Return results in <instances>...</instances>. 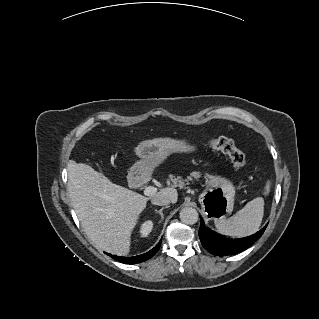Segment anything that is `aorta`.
<instances>
[{"mask_svg": "<svg viewBox=\"0 0 319 319\" xmlns=\"http://www.w3.org/2000/svg\"><path fill=\"white\" fill-rule=\"evenodd\" d=\"M179 218L182 223L192 225L197 222L198 214L195 209L191 207H185L179 212Z\"/></svg>", "mask_w": 319, "mask_h": 319, "instance_id": "762f6f07", "label": "aorta"}]
</instances>
